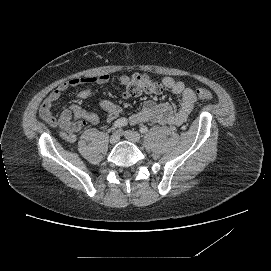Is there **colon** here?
<instances>
[{"label": "colon", "mask_w": 271, "mask_h": 271, "mask_svg": "<svg viewBox=\"0 0 271 271\" xmlns=\"http://www.w3.org/2000/svg\"><path fill=\"white\" fill-rule=\"evenodd\" d=\"M126 90L130 96H139L144 93L158 94L162 91V86L147 75L135 74L131 77ZM195 93L199 99L206 101L213 99V94L206 89L198 88Z\"/></svg>", "instance_id": "colon-1"}]
</instances>
